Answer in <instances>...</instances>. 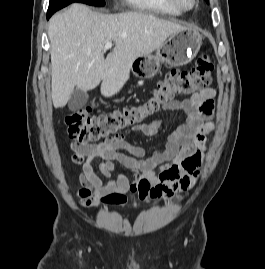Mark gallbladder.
Wrapping results in <instances>:
<instances>
[{
    "label": "gallbladder",
    "instance_id": "bac80fb5",
    "mask_svg": "<svg viewBox=\"0 0 265 269\" xmlns=\"http://www.w3.org/2000/svg\"><path fill=\"white\" fill-rule=\"evenodd\" d=\"M89 98V95L86 92H83L79 89H74L70 99L68 101V107L71 111H77L85 106Z\"/></svg>",
    "mask_w": 265,
    "mask_h": 269
}]
</instances>
